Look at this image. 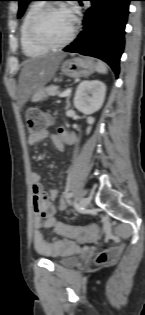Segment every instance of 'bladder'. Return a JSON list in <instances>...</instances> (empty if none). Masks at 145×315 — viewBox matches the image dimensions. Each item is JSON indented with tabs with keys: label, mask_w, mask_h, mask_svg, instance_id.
<instances>
[{
	"label": "bladder",
	"mask_w": 145,
	"mask_h": 315,
	"mask_svg": "<svg viewBox=\"0 0 145 315\" xmlns=\"http://www.w3.org/2000/svg\"><path fill=\"white\" fill-rule=\"evenodd\" d=\"M56 264L63 267H72L78 263V255L76 252L66 253L55 259Z\"/></svg>",
	"instance_id": "bladder-1"
}]
</instances>
